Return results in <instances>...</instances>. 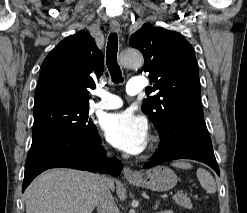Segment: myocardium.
Here are the masks:
<instances>
[{"instance_id":"obj_1","label":"myocardium","mask_w":247,"mask_h":213,"mask_svg":"<svg viewBox=\"0 0 247 213\" xmlns=\"http://www.w3.org/2000/svg\"><path fill=\"white\" fill-rule=\"evenodd\" d=\"M158 147V138L156 136H151L146 148V151L143 155V158L149 157Z\"/></svg>"}]
</instances>
